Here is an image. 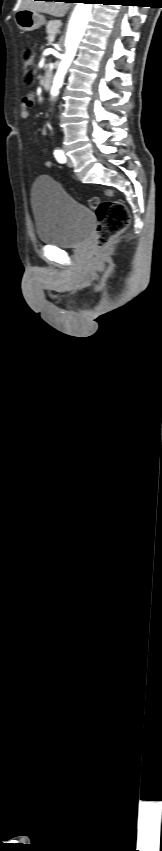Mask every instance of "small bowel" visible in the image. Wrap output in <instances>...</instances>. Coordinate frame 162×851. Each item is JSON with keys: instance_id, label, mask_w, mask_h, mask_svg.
Segmentation results:
<instances>
[{"instance_id": "small-bowel-1", "label": "small bowel", "mask_w": 162, "mask_h": 851, "mask_svg": "<svg viewBox=\"0 0 162 851\" xmlns=\"http://www.w3.org/2000/svg\"><path fill=\"white\" fill-rule=\"evenodd\" d=\"M33 104H34V95L32 93H29V94H27L23 97L22 102H21V110H20V117L23 120H28L30 118V108L33 106ZM45 133H46V129H43L42 134H45ZM45 166L51 167L52 162L49 161V160H46Z\"/></svg>"}]
</instances>
